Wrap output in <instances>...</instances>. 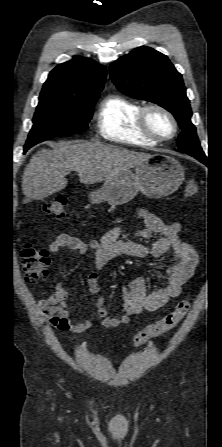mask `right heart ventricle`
<instances>
[{
	"label": "right heart ventricle",
	"instance_id": "obj_1",
	"mask_svg": "<svg viewBox=\"0 0 222 447\" xmlns=\"http://www.w3.org/2000/svg\"><path fill=\"white\" fill-rule=\"evenodd\" d=\"M141 104L112 95L104 99L96 116L99 135L107 140L122 144L155 145L156 140L145 135L138 124Z\"/></svg>",
	"mask_w": 222,
	"mask_h": 447
}]
</instances>
